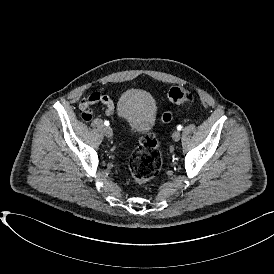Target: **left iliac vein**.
Segmentation results:
<instances>
[{
  "mask_svg": "<svg viewBox=\"0 0 274 274\" xmlns=\"http://www.w3.org/2000/svg\"><path fill=\"white\" fill-rule=\"evenodd\" d=\"M180 137H181V134L178 130L174 131L173 134H172V138L174 141H179L180 140Z\"/></svg>",
  "mask_w": 274,
  "mask_h": 274,
  "instance_id": "left-iliac-vein-1",
  "label": "left iliac vein"
}]
</instances>
